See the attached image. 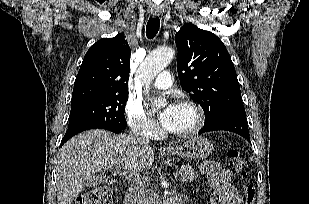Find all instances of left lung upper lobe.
Returning a JSON list of instances; mask_svg holds the SVG:
<instances>
[{
    "instance_id": "left-lung-upper-lobe-1",
    "label": "left lung upper lobe",
    "mask_w": 309,
    "mask_h": 204,
    "mask_svg": "<svg viewBox=\"0 0 309 204\" xmlns=\"http://www.w3.org/2000/svg\"><path fill=\"white\" fill-rule=\"evenodd\" d=\"M175 42L181 87L201 105L206 119L243 106L233 62L215 34L187 23L176 33Z\"/></svg>"
}]
</instances>
